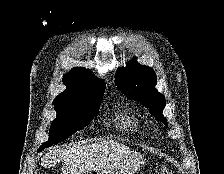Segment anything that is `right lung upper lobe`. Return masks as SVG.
I'll use <instances>...</instances> for the list:
<instances>
[{"instance_id": "cb5924a9", "label": "right lung upper lobe", "mask_w": 224, "mask_h": 174, "mask_svg": "<svg viewBox=\"0 0 224 174\" xmlns=\"http://www.w3.org/2000/svg\"><path fill=\"white\" fill-rule=\"evenodd\" d=\"M67 89L58 95L53 104H70L84 100L101 99L105 90V83L84 68H74L63 75Z\"/></svg>"}]
</instances>
